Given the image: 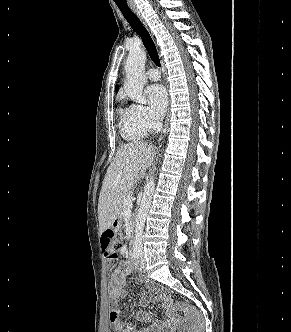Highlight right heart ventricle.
I'll return each instance as SVG.
<instances>
[{
    "mask_svg": "<svg viewBox=\"0 0 291 332\" xmlns=\"http://www.w3.org/2000/svg\"><path fill=\"white\" fill-rule=\"evenodd\" d=\"M121 119V133L127 140H138L144 137L145 133L138 130L131 121L130 108H119Z\"/></svg>",
    "mask_w": 291,
    "mask_h": 332,
    "instance_id": "right-heart-ventricle-1",
    "label": "right heart ventricle"
}]
</instances>
